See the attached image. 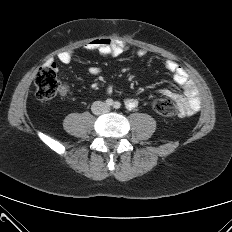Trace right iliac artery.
Returning a JSON list of instances; mask_svg holds the SVG:
<instances>
[{
    "label": "right iliac artery",
    "mask_w": 232,
    "mask_h": 232,
    "mask_svg": "<svg viewBox=\"0 0 232 232\" xmlns=\"http://www.w3.org/2000/svg\"><path fill=\"white\" fill-rule=\"evenodd\" d=\"M114 104V102H113V100L112 99H107L106 100V105L108 106V107H110V106H112Z\"/></svg>",
    "instance_id": "obj_1"
}]
</instances>
